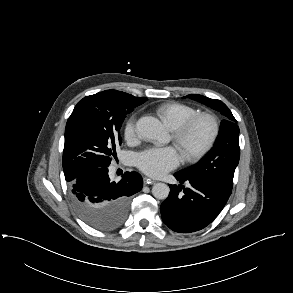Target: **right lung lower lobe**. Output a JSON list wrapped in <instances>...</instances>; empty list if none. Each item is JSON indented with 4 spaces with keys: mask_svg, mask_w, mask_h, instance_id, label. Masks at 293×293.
<instances>
[{
    "mask_svg": "<svg viewBox=\"0 0 293 293\" xmlns=\"http://www.w3.org/2000/svg\"><path fill=\"white\" fill-rule=\"evenodd\" d=\"M142 185V177L136 172H125L116 182L109 177L108 167H95L77 176L70 190L78 210L94 215L118 214L124 222L130 196L140 191Z\"/></svg>",
    "mask_w": 293,
    "mask_h": 293,
    "instance_id": "98d812e1",
    "label": "right lung lower lobe"
}]
</instances>
